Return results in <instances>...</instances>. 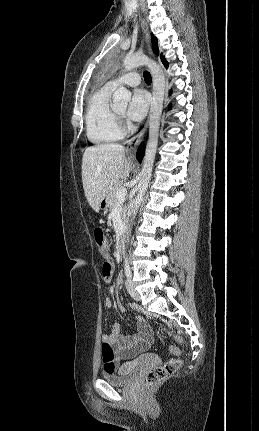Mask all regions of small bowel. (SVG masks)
<instances>
[{"label": "small bowel", "mask_w": 259, "mask_h": 431, "mask_svg": "<svg viewBox=\"0 0 259 431\" xmlns=\"http://www.w3.org/2000/svg\"><path fill=\"white\" fill-rule=\"evenodd\" d=\"M101 275L104 282H110L113 272L108 266H105ZM104 304L108 309L113 307L111 298H107ZM136 321L138 325V334L136 336H119L120 325L117 321L113 322L111 331L102 336L103 343H108L113 351L110 358H106L102 353L105 369L109 366L115 369L121 361L131 360L151 346L153 339L149 325L142 316H137Z\"/></svg>", "instance_id": "c3829d8e"}]
</instances>
